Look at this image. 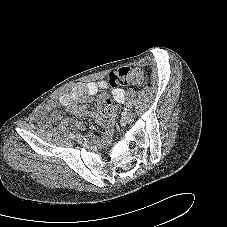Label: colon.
Masks as SVG:
<instances>
[{
  "label": "colon",
  "instance_id": "obj_1",
  "mask_svg": "<svg viewBox=\"0 0 227 227\" xmlns=\"http://www.w3.org/2000/svg\"><path fill=\"white\" fill-rule=\"evenodd\" d=\"M147 81L146 74L140 68L124 67L113 71L108 76V83L112 89L120 86L134 84L143 85ZM112 106V100L108 92L101 93L97 98V107L101 113H106Z\"/></svg>",
  "mask_w": 227,
  "mask_h": 227
}]
</instances>
